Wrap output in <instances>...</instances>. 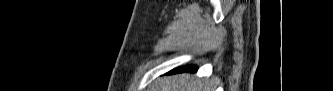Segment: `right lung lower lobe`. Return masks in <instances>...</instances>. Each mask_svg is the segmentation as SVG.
<instances>
[{
  "instance_id": "right-lung-lower-lobe-1",
  "label": "right lung lower lobe",
  "mask_w": 333,
  "mask_h": 91,
  "mask_svg": "<svg viewBox=\"0 0 333 91\" xmlns=\"http://www.w3.org/2000/svg\"><path fill=\"white\" fill-rule=\"evenodd\" d=\"M197 70V67L193 65H187L183 67L176 68L172 71H170L168 74H174V73H179V72H195Z\"/></svg>"
}]
</instances>
